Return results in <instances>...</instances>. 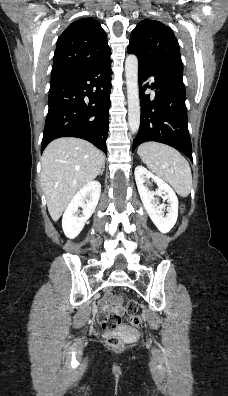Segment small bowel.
I'll use <instances>...</instances> for the list:
<instances>
[{"mask_svg": "<svg viewBox=\"0 0 228 396\" xmlns=\"http://www.w3.org/2000/svg\"><path fill=\"white\" fill-rule=\"evenodd\" d=\"M103 314H117L120 315L124 312L123 306L120 304H111L109 299H103L99 303Z\"/></svg>", "mask_w": 228, "mask_h": 396, "instance_id": "c3829d8e", "label": "small bowel"}]
</instances>
